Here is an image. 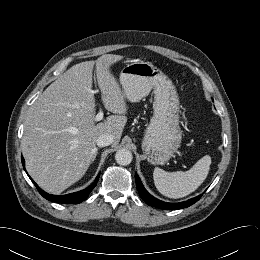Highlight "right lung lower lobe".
<instances>
[{
	"label": "right lung lower lobe",
	"mask_w": 260,
	"mask_h": 260,
	"mask_svg": "<svg viewBox=\"0 0 260 260\" xmlns=\"http://www.w3.org/2000/svg\"><path fill=\"white\" fill-rule=\"evenodd\" d=\"M22 164L24 166V159L22 157ZM99 179V175L96 177L95 181L86 189L81 190L79 192L76 193H71V194H67V195H61V196H56V195H51L46 193L45 191H43L42 189H40L36 183L35 186L37 187L39 193L47 200L49 201H54L57 203H64V204H78L81 203L83 200H85L89 193L94 189V187L96 186L97 182Z\"/></svg>",
	"instance_id": "right-lung-lower-lobe-1"
}]
</instances>
